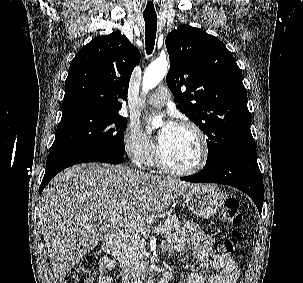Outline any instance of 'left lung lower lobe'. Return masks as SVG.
I'll return each mask as SVG.
<instances>
[{
    "label": "left lung lower lobe",
    "mask_w": 303,
    "mask_h": 283,
    "mask_svg": "<svg viewBox=\"0 0 303 283\" xmlns=\"http://www.w3.org/2000/svg\"><path fill=\"white\" fill-rule=\"evenodd\" d=\"M194 183H218L236 187L245 192L262 212L263 176L257 163L255 144L233 148L206 166L197 174L182 177Z\"/></svg>",
    "instance_id": "obj_1"
}]
</instances>
